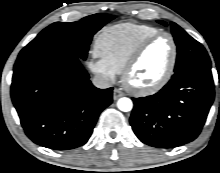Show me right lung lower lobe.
I'll return each mask as SVG.
<instances>
[{
	"mask_svg": "<svg viewBox=\"0 0 220 173\" xmlns=\"http://www.w3.org/2000/svg\"><path fill=\"white\" fill-rule=\"evenodd\" d=\"M112 90L98 89L66 50L18 57L11 97L26 135L53 150L84 145L100 113L112 103Z\"/></svg>",
	"mask_w": 220,
	"mask_h": 173,
	"instance_id": "1",
	"label": "right lung lower lobe"
}]
</instances>
